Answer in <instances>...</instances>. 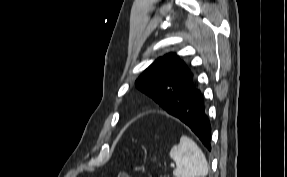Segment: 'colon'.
Segmentation results:
<instances>
[{
	"label": "colon",
	"mask_w": 287,
	"mask_h": 177,
	"mask_svg": "<svg viewBox=\"0 0 287 177\" xmlns=\"http://www.w3.org/2000/svg\"><path fill=\"white\" fill-rule=\"evenodd\" d=\"M118 177H131V176L128 172L122 171L119 173Z\"/></svg>",
	"instance_id": "obj_1"
}]
</instances>
